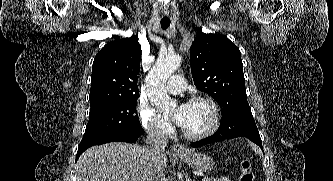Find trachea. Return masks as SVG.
<instances>
[{"instance_id": "obj_1", "label": "trachea", "mask_w": 333, "mask_h": 181, "mask_svg": "<svg viewBox=\"0 0 333 181\" xmlns=\"http://www.w3.org/2000/svg\"><path fill=\"white\" fill-rule=\"evenodd\" d=\"M170 26V20H161V27L167 29Z\"/></svg>"}]
</instances>
